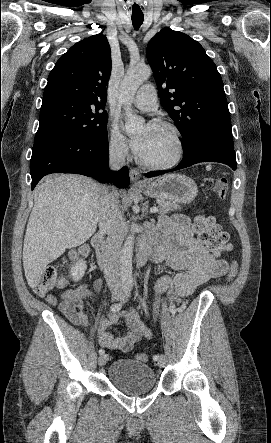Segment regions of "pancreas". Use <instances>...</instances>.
Instances as JSON below:
<instances>
[{
  "mask_svg": "<svg viewBox=\"0 0 271 443\" xmlns=\"http://www.w3.org/2000/svg\"><path fill=\"white\" fill-rule=\"evenodd\" d=\"M159 208L160 214H168V212H174V210H182L175 202H164V200H160Z\"/></svg>",
  "mask_w": 271,
  "mask_h": 443,
  "instance_id": "cf45deb5",
  "label": "pancreas"
}]
</instances>
